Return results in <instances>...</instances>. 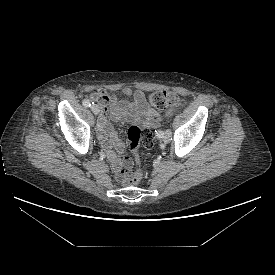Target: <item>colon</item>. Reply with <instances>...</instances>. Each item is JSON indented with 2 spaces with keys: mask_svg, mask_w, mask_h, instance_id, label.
<instances>
[{
  "mask_svg": "<svg viewBox=\"0 0 275 275\" xmlns=\"http://www.w3.org/2000/svg\"><path fill=\"white\" fill-rule=\"evenodd\" d=\"M147 100L152 106L158 109H164L178 104L180 98L172 91L161 90L150 93ZM127 138L133 152L137 151L140 141H142L144 146L147 148H151L153 146V135L151 129L148 127L141 128L138 125L129 127L127 131ZM141 177L142 173L139 169L134 172L126 169L123 182L126 186H132L137 184L141 180Z\"/></svg>",
  "mask_w": 275,
  "mask_h": 275,
  "instance_id": "5ec220e1",
  "label": "colon"
}]
</instances>
